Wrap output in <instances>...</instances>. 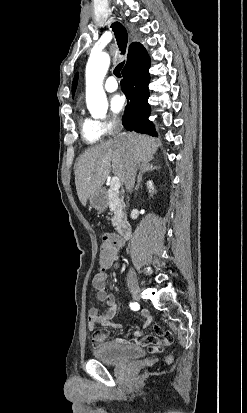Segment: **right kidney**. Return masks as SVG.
<instances>
[{
    "instance_id": "obj_1",
    "label": "right kidney",
    "mask_w": 247,
    "mask_h": 413,
    "mask_svg": "<svg viewBox=\"0 0 247 413\" xmlns=\"http://www.w3.org/2000/svg\"><path fill=\"white\" fill-rule=\"evenodd\" d=\"M146 184H147L148 188H152V190H154V186H153L152 180H147ZM152 190H149V192H152Z\"/></svg>"
}]
</instances>
